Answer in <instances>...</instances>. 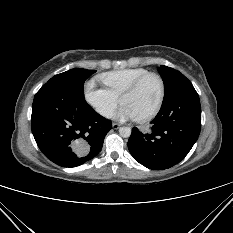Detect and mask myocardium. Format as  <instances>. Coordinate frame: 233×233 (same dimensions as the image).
Here are the masks:
<instances>
[{
	"mask_svg": "<svg viewBox=\"0 0 233 233\" xmlns=\"http://www.w3.org/2000/svg\"><path fill=\"white\" fill-rule=\"evenodd\" d=\"M150 77H155L159 80L160 82V86H161V93H160V98L158 100L157 105L155 106V108L147 115L140 117V118H136V120L138 122H147L150 121L151 119H153L161 110L164 100H165V95H166V85H165V81L163 79V77L155 72H148L144 75H142L141 77H139L137 80H135L131 85H129L120 95V102L122 101L123 97L134 93L135 91H137L140 86L143 84V82L145 80H147Z\"/></svg>",
	"mask_w": 233,
	"mask_h": 233,
	"instance_id": "obj_1",
	"label": "myocardium"
}]
</instances>
